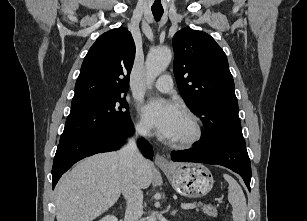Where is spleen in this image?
I'll list each match as a JSON object with an SVG mask.
<instances>
[{
	"label": "spleen",
	"instance_id": "obj_1",
	"mask_svg": "<svg viewBox=\"0 0 307 221\" xmlns=\"http://www.w3.org/2000/svg\"><path fill=\"white\" fill-rule=\"evenodd\" d=\"M228 182V200L233 208L234 221H246L247 205L242 188L237 181L228 174L223 175Z\"/></svg>",
	"mask_w": 307,
	"mask_h": 221
}]
</instances>
